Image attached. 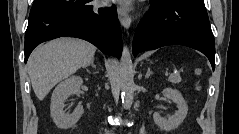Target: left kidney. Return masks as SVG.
Returning <instances> with one entry per match:
<instances>
[{"mask_svg":"<svg viewBox=\"0 0 239 134\" xmlns=\"http://www.w3.org/2000/svg\"><path fill=\"white\" fill-rule=\"evenodd\" d=\"M162 93L165 97L171 99L177 104L178 110L168 119L163 118L158 112H155L153 114V119L155 124L161 130L171 131L178 128V126L183 122L188 112V106L178 90L165 88Z\"/></svg>","mask_w":239,"mask_h":134,"instance_id":"1","label":"left kidney"}]
</instances>
